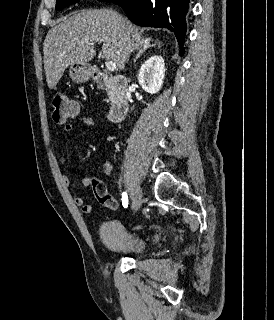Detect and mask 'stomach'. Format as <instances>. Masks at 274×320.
Wrapping results in <instances>:
<instances>
[{"instance_id": "stomach-1", "label": "stomach", "mask_w": 274, "mask_h": 320, "mask_svg": "<svg viewBox=\"0 0 274 320\" xmlns=\"http://www.w3.org/2000/svg\"><path fill=\"white\" fill-rule=\"evenodd\" d=\"M92 74L93 68L89 64H71L70 76L74 82H87Z\"/></svg>"}]
</instances>
